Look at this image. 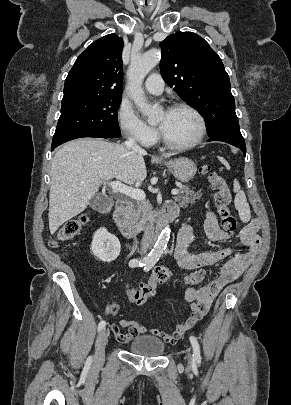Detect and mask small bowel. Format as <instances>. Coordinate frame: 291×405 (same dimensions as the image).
Returning <instances> with one entry per match:
<instances>
[{"label": "small bowel", "mask_w": 291, "mask_h": 405, "mask_svg": "<svg viewBox=\"0 0 291 405\" xmlns=\"http://www.w3.org/2000/svg\"><path fill=\"white\" fill-rule=\"evenodd\" d=\"M204 228L207 237L214 243L226 242L232 238V233L221 229L218 217L212 211L206 215ZM257 232L258 225L250 223L240 232L238 246L191 253L188 251V247L193 239V229L190 225H184L179 231L174 251L175 260L181 268L195 270L214 265L226 258L228 260L221 266L217 276L209 284L199 289L191 285L185 290L184 298L190 303V315L172 333L160 329H147L137 321L122 319L119 325L128 330L126 333H121L118 325H111L114 338L120 343H129L140 335L148 333L167 343H176L186 331L206 315L218 292L225 285L239 278L247 269L260 248L261 240ZM118 310L119 304L116 301L106 306V312L110 315H116Z\"/></svg>", "instance_id": "1"}]
</instances>
